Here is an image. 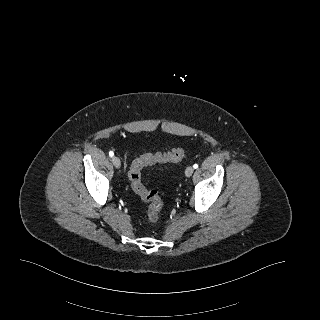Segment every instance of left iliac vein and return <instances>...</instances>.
I'll list each match as a JSON object with an SVG mask.
<instances>
[{"label": "left iliac vein", "mask_w": 320, "mask_h": 320, "mask_svg": "<svg viewBox=\"0 0 320 320\" xmlns=\"http://www.w3.org/2000/svg\"><path fill=\"white\" fill-rule=\"evenodd\" d=\"M193 172H194V168H193L192 166H189V167H187L186 170H185V175H186L187 177H190V176L193 174Z\"/></svg>", "instance_id": "4c4485c4"}]
</instances>
